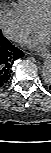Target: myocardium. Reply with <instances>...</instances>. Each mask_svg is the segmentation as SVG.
<instances>
[{"label": "myocardium", "mask_w": 51, "mask_h": 153, "mask_svg": "<svg viewBox=\"0 0 51 153\" xmlns=\"http://www.w3.org/2000/svg\"><path fill=\"white\" fill-rule=\"evenodd\" d=\"M46 20H51V7L44 10L37 18L36 25L39 29H42L43 23Z\"/></svg>", "instance_id": "f54148a6"}]
</instances>
